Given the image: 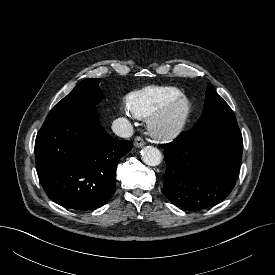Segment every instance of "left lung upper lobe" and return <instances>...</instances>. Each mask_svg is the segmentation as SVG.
<instances>
[{"label":"left lung upper lobe","instance_id":"obj_1","mask_svg":"<svg viewBox=\"0 0 275 275\" xmlns=\"http://www.w3.org/2000/svg\"><path fill=\"white\" fill-rule=\"evenodd\" d=\"M197 125L204 126L207 132L240 131L232 109L212 84L207 88L203 113Z\"/></svg>","mask_w":275,"mask_h":275}]
</instances>
